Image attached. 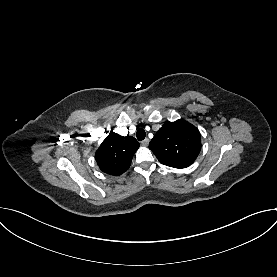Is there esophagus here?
I'll use <instances>...</instances> for the list:
<instances>
[{
	"mask_svg": "<svg viewBox=\"0 0 277 277\" xmlns=\"http://www.w3.org/2000/svg\"><path fill=\"white\" fill-rule=\"evenodd\" d=\"M148 144H149V139L148 138H146L143 141H141V145L142 146H148Z\"/></svg>",
	"mask_w": 277,
	"mask_h": 277,
	"instance_id": "34e87169",
	"label": "esophagus"
}]
</instances>
